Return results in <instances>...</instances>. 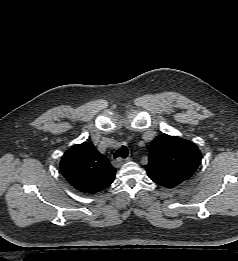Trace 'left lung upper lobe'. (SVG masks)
Instances as JSON below:
<instances>
[{
    "label": "left lung upper lobe",
    "mask_w": 238,
    "mask_h": 261,
    "mask_svg": "<svg viewBox=\"0 0 238 261\" xmlns=\"http://www.w3.org/2000/svg\"><path fill=\"white\" fill-rule=\"evenodd\" d=\"M201 161L198 147L185 139L161 134L150 145L148 176L164 187H174L189 179Z\"/></svg>",
    "instance_id": "left-lung-upper-lobe-1"
}]
</instances>
